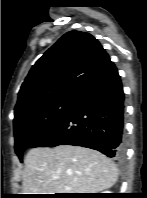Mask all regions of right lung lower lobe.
I'll list each match as a JSON object with an SVG mask.
<instances>
[{"instance_id": "obj_1", "label": "right lung lower lobe", "mask_w": 147, "mask_h": 198, "mask_svg": "<svg viewBox=\"0 0 147 198\" xmlns=\"http://www.w3.org/2000/svg\"><path fill=\"white\" fill-rule=\"evenodd\" d=\"M124 93L116 66L105 73L76 100L67 114L31 148L76 145L99 150L121 159Z\"/></svg>"}]
</instances>
